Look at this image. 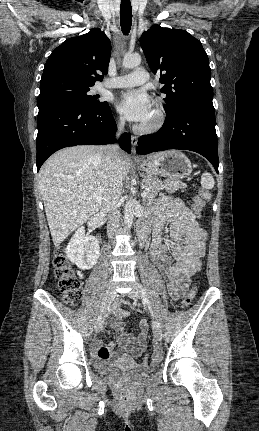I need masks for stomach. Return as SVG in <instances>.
<instances>
[{"label":"stomach","instance_id":"0dacf381","mask_svg":"<svg viewBox=\"0 0 259 431\" xmlns=\"http://www.w3.org/2000/svg\"><path fill=\"white\" fill-rule=\"evenodd\" d=\"M138 169L145 179L164 176L170 180H180L191 174L192 165L184 153L167 151L156 159L140 162Z\"/></svg>","mask_w":259,"mask_h":431}]
</instances>
